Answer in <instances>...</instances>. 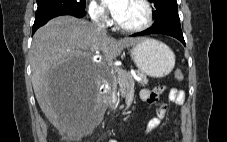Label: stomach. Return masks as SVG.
Listing matches in <instances>:
<instances>
[{
    "mask_svg": "<svg viewBox=\"0 0 227 142\" xmlns=\"http://www.w3.org/2000/svg\"><path fill=\"white\" fill-rule=\"evenodd\" d=\"M131 57L140 71L153 78L167 76L175 65L173 51L154 39H144L133 45Z\"/></svg>",
    "mask_w": 227,
    "mask_h": 142,
    "instance_id": "obj_1",
    "label": "stomach"
}]
</instances>
